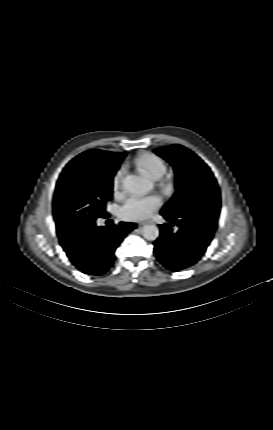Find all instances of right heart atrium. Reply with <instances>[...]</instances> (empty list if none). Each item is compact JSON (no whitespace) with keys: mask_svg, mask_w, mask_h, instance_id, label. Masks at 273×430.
Returning a JSON list of instances; mask_svg holds the SVG:
<instances>
[{"mask_svg":"<svg viewBox=\"0 0 273 430\" xmlns=\"http://www.w3.org/2000/svg\"><path fill=\"white\" fill-rule=\"evenodd\" d=\"M124 172V168H120L113 177L112 186L115 193L119 192L122 188Z\"/></svg>","mask_w":273,"mask_h":430,"instance_id":"obj_1","label":"right heart atrium"}]
</instances>
